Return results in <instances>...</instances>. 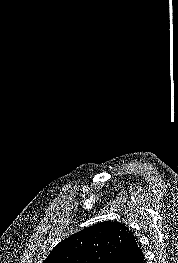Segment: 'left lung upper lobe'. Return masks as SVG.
Listing matches in <instances>:
<instances>
[{
  "instance_id": "left-lung-upper-lobe-1",
  "label": "left lung upper lobe",
  "mask_w": 178,
  "mask_h": 263,
  "mask_svg": "<svg viewBox=\"0 0 178 263\" xmlns=\"http://www.w3.org/2000/svg\"><path fill=\"white\" fill-rule=\"evenodd\" d=\"M130 233L125 224L100 222L62 240L43 263H109Z\"/></svg>"
}]
</instances>
